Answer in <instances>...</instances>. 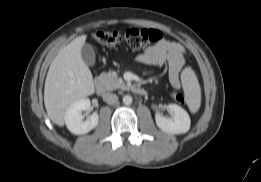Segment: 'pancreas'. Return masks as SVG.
Segmentation results:
<instances>
[{
  "label": "pancreas",
  "instance_id": "1",
  "mask_svg": "<svg viewBox=\"0 0 261 182\" xmlns=\"http://www.w3.org/2000/svg\"><path fill=\"white\" fill-rule=\"evenodd\" d=\"M100 80L106 90L112 91L116 89H122V90H127V86L123 82L121 78H118L116 73H101L100 75Z\"/></svg>",
  "mask_w": 261,
  "mask_h": 182
}]
</instances>
